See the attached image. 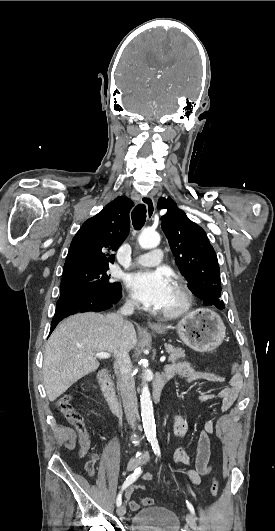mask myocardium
<instances>
[{
    "mask_svg": "<svg viewBox=\"0 0 275 531\" xmlns=\"http://www.w3.org/2000/svg\"><path fill=\"white\" fill-rule=\"evenodd\" d=\"M173 284L181 294L180 304L170 310L158 311V313L165 318H177L184 315L191 308L192 305V293L186 283L178 278L173 280Z\"/></svg>",
    "mask_w": 275,
    "mask_h": 531,
    "instance_id": "f54148a6",
    "label": "myocardium"
}]
</instances>
